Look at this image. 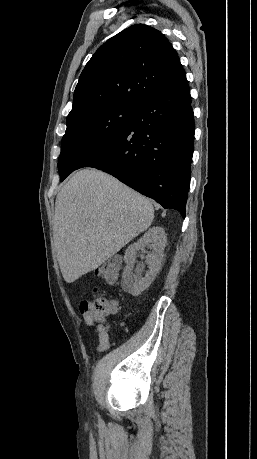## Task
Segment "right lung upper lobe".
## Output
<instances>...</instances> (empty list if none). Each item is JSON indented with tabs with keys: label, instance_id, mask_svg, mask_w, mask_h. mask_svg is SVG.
I'll return each mask as SVG.
<instances>
[{
	"label": "right lung upper lobe",
	"instance_id": "obj_1",
	"mask_svg": "<svg viewBox=\"0 0 257 459\" xmlns=\"http://www.w3.org/2000/svg\"><path fill=\"white\" fill-rule=\"evenodd\" d=\"M184 74L176 51L159 30L133 25L105 42L86 64L67 124L107 107H136Z\"/></svg>",
	"mask_w": 257,
	"mask_h": 459
}]
</instances>
